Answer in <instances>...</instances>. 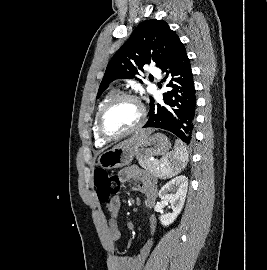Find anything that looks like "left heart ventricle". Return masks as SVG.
<instances>
[{
    "label": "left heart ventricle",
    "instance_id": "1",
    "mask_svg": "<svg viewBox=\"0 0 267 270\" xmlns=\"http://www.w3.org/2000/svg\"><path fill=\"white\" fill-rule=\"evenodd\" d=\"M140 119V107L131 100H124L115 104L105 115L104 128L116 135L134 127Z\"/></svg>",
    "mask_w": 267,
    "mask_h": 270
}]
</instances>
